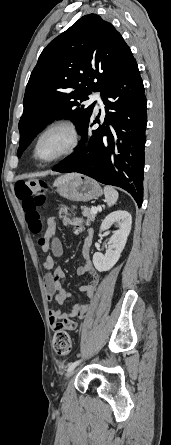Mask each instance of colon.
Listing matches in <instances>:
<instances>
[{"instance_id": "obj_1", "label": "colon", "mask_w": 171, "mask_h": 445, "mask_svg": "<svg viewBox=\"0 0 171 445\" xmlns=\"http://www.w3.org/2000/svg\"><path fill=\"white\" fill-rule=\"evenodd\" d=\"M16 196L21 202L25 217L31 230L35 233L41 230V217L39 209L45 204L47 184L43 181H21L15 185ZM65 221L71 225L75 232L79 233L84 221L78 217H71L65 209L61 210ZM53 348L57 355L65 356L71 350L70 336L61 327L57 328L53 337Z\"/></svg>"}]
</instances>
